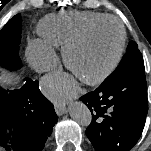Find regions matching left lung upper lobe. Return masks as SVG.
<instances>
[{
    "instance_id": "obj_1",
    "label": "left lung upper lobe",
    "mask_w": 151,
    "mask_h": 151,
    "mask_svg": "<svg viewBox=\"0 0 151 151\" xmlns=\"http://www.w3.org/2000/svg\"><path fill=\"white\" fill-rule=\"evenodd\" d=\"M134 67H144V61L141 52L138 49V45L135 41H131L128 44L125 55L119 63L116 70L109 75L103 83H109L122 73Z\"/></svg>"
}]
</instances>
